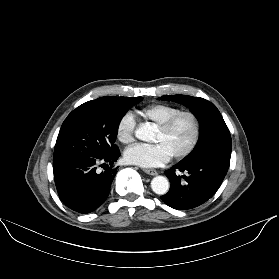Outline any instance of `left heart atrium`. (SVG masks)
<instances>
[{
    "mask_svg": "<svg viewBox=\"0 0 279 279\" xmlns=\"http://www.w3.org/2000/svg\"><path fill=\"white\" fill-rule=\"evenodd\" d=\"M172 157L163 143L154 145L136 144L125 152V159L131 164L141 167H154L165 164Z\"/></svg>",
    "mask_w": 279,
    "mask_h": 279,
    "instance_id": "left-heart-atrium-1",
    "label": "left heart atrium"
}]
</instances>
